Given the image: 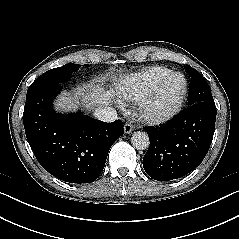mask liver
Here are the masks:
<instances>
[{"label":"liver","mask_w":239,"mask_h":239,"mask_svg":"<svg viewBox=\"0 0 239 239\" xmlns=\"http://www.w3.org/2000/svg\"><path fill=\"white\" fill-rule=\"evenodd\" d=\"M116 94L114 90L105 91L100 85L89 86L87 89L79 88L74 95L64 92L59 97L57 108L72 110L77 107L79 100L87 109L94 106H108L113 102Z\"/></svg>","instance_id":"6515ba94"}]
</instances>
